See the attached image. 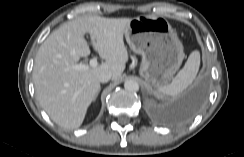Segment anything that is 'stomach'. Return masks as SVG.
Listing matches in <instances>:
<instances>
[{
  "label": "stomach",
  "mask_w": 244,
  "mask_h": 157,
  "mask_svg": "<svg viewBox=\"0 0 244 157\" xmlns=\"http://www.w3.org/2000/svg\"><path fill=\"white\" fill-rule=\"evenodd\" d=\"M125 38L130 49L142 56L140 75L154 88L167 85L180 68L184 48L169 22L156 15L130 20Z\"/></svg>",
  "instance_id": "0dacf381"
}]
</instances>
